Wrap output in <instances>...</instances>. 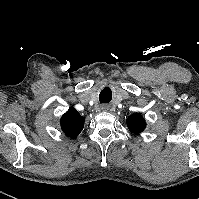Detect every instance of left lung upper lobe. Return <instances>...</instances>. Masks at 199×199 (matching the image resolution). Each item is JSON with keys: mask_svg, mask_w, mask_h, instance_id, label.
Here are the masks:
<instances>
[{"mask_svg": "<svg viewBox=\"0 0 199 199\" xmlns=\"http://www.w3.org/2000/svg\"><path fill=\"white\" fill-rule=\"evenodd\" d=\"M126 122L128 129L135 134L142 132L146 127V122L140 114L129 116Z\"/></svg>", "mask_w": 199, "mask_h": 199, "instance_id": "obj_1", "label": "left lung upper lobe"}]
</instances>
